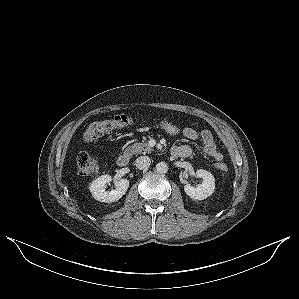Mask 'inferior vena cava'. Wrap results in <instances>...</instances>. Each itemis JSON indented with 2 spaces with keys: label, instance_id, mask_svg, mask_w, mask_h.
Returning a JSON list of instances; mask_svg holds the SVG:
<instances>
[{
  "label": "inferior vena cava",
  "instance_id": "602c4592",
  "mask_svg": "<svg viewBox=\"0 0 299 299\" xmlns=\"http://www.w3.org/2000/svg\"><path fill=\"white\" fill-rule=\"evenodd\" d=\"M150 163L151 159L148 156H140L135 161L136 167L140 170L148 169Z\"/></svg>",
  "mask_w": 299,
  "mask_h": 299
}]
</instances>
